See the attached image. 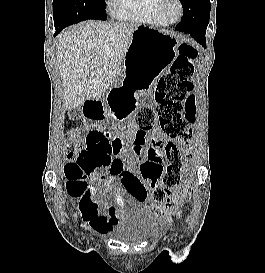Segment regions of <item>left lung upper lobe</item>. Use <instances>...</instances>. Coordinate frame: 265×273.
<instances>
[{"mask_svg": "<svg viewBox=\"0 0 265 273\" xmlns=\"http://www.w3.org/2000/svg\"><path fill=\"white\" fill-rule=\"evenodd\" d=\"M182 7H183V12H185L186 10L190 9L192 6V1L193 0H180ZM209 17H210V7L206 9L205 11V21L208 25L209 23Z\"/></svg>", "mask_w": 265, "mask_h": 273, "instance_id": "obj_1", "label": "left lung upper lobe"}]
</instances>
